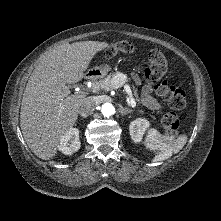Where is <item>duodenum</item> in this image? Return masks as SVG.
Masks as SVG:
<instances>
[{"instance_id":"410a0bca","label":"duodenum","mask_w":221,"mask_h":221,"mask_svg":"<svg viewBox=\"0 0 221 221\" xmlns=\"http://www.w3.org/2000/svg\"><path fill=\"white\" fill-rule=\"evenodd\" d=\"M98 76H99L98 72H90L86 75L85 79L87 81H92V80L96 79Z\"/></svg>"}]
</instances>
